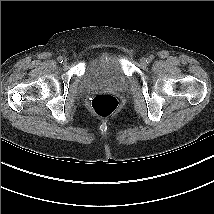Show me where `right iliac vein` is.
Masks as SVG:
<instances>
[{
    "instance_id": "obj_1",
    "label": "right iliac vein",
    "mask_w": 214,
    "mask_h": 214,
    "mask_svg": "<svg viewBox=\"0 0 214 214\" xmlns=\"http://www.w3.org/2000/svg\"><path fill=\"white\" fill-rule=\"evenodd\" d=\"M64 64H65V65L67 64V59L64 60Z\"/></svg>"
}]
</instances>
